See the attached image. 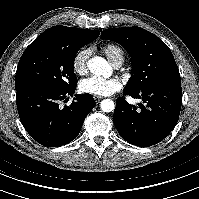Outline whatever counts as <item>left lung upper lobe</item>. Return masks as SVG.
<instances>
[{
  "mask_svg": "<svg viewBox=\"0 0 199 199\" xmlns=\"http://www.w3.org/2000/svg\"><path fill=\"white\" fill-rule=\"evenodd\" d=\"M101 37L119 43L131 56L133 76L125 90L139 92L157 83L180 80L170 49L153 33L133 26L106 29Z\"/></svg>",
  "mask_w": 199,
  "mask_h": 199,
  "instance_id": "5c2ea615",
  "label": "left lung upper lobe"
}]
</instances>
